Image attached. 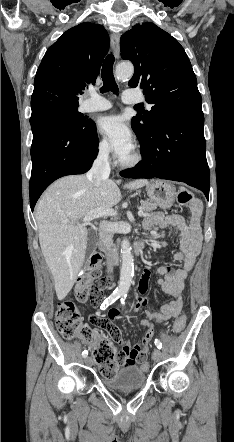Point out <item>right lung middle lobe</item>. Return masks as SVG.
Listing matches in <instances>:
<instances>
[{
  "label": "right lung middle lobe",
  "instance_id": "right-lung-middle-lobe-1",
  "mask_svg": "<svg viewBox=\"0 0 234 442\" xmlns=\"http://www.w3.org/2000/svg\"><path fill=\"white\" fill-rule=\"evenodd\" d=\"M44 120L61 121L75 130H86L94 124L92 120H87L86 116L78 112V107L55 108L31 115L30 124Z\"/></svg>",
  "mask_w": 234,
  "mask_h": 442
}]
</instances>
